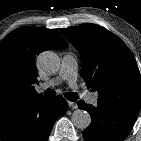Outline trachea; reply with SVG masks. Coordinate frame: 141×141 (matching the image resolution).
Wrapping results in <instances>:
<instances>
[{"label":"trachea","mask_w":141,"mask_h":141,"mask_svg":"<svg viewBox=\"0 0 141 141\" xmlns=\"http://www.w3.org/2000/svg\"><path fill=\"white\" fill-rule=\"evenodd\" d=\"M44 95L48 96V97H51V96H55L56 92H55V90H53L51 88H48L44 92ZM64 96H65L66 99H68L70 101H76L79 98L78 94L75 93V92H66V93H64Z\"/></svg>","instance_id":"obj_1"}]
</instances>
